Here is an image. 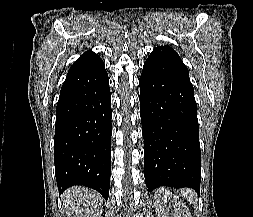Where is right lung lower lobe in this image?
Masks as SVG:
<instances>
[{"label":"right lung lower lobe","instance_id":"obj_1","mask_svg":"<svg viewBox=\"0 0 253 217\" xmlns=\"http://www.w3.org/2000/svg\"><path fill=\"white\" fill-rule=\"evenodd\" d=\"M111 94L102 60L67 74L57 104L54 154L60 194L83 185L109 197Z\"/></svg>","mask_w":253,"mask_h":217}]
</instances>
